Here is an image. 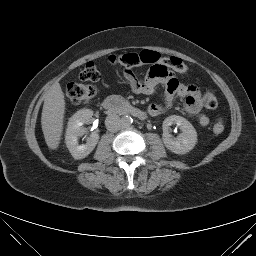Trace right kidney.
<instances>
[{
    "instance_id": "1",
    "label": "right kidney",
    "mask_w": 256,
    "mask_h": 256,
    "mask_svg": "<svg viewBox=\"0 0 256 256\" xmlns=\"http://www.w3.org/2000/svg\"><path fill=\"white\" fill-rule=\"evenodd\" d=\"M93 115L90 109H82L77 111L68 121L66 130L65 143L74 159H83L88 156L95 148L99 140V134L91 133L85 144L79 145L78 138L85 129L84 123H88Z\"/></svg>"
}]
</instances>
